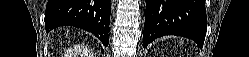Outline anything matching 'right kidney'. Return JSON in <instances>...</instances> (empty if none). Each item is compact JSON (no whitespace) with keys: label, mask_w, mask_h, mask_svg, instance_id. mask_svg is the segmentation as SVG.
Here are the masks:
<instances>
[{"label":"right kidney","mask_w":249,"mask_h":57,"mask_svg":"<svg viewBox=\"0 0 249 57\" xmlns=\"http://www.w3.org/2000/svg\"><path fill=\"white\" fill-rule=\"evenodd\" d=\"M84 51L86 52V53H89L90 54V57H93V54H92V52L90 51V49H84Z\"/></svg>","instance_id":"right-kidney-1"}]
</instances>
